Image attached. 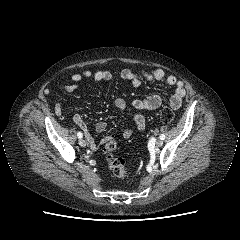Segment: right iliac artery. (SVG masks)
<instances>
[{
    "label": "right iliac artery",
    "instance_id": "obj_1",
    "mask_svg": "<svg viewBox=\"0 0 240 240\" xmlns=\"http://www.w3.org/2000/svg\"><path fill=\"white\" fill-rule=\"evenodd\" d=\"M77 136H78L79 138H82V137H83V134H82L81 132H78V133H77Z\"/></svg>",
    "mask_w": 240,
    "mask_h": 240
}]
</instances>
